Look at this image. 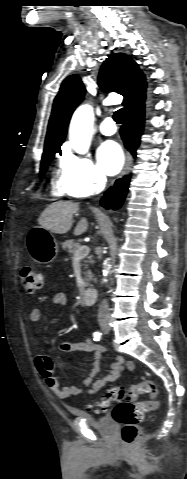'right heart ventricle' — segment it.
Instances as JSON below:
<instances>
[{
	"instance_id": "1",
	"label": "right heart ventricle",
	"mask_w": 187,
	"mask_h": 479,
	"mask_svg": "<svg viewBox=\"0 0 187 479\" xmlns=\"http://www.w3.org/2000/svg\"><path fill=\"white\" fill-rule=\"evenodd\" d=\"M51 191L56 196H61L65 192L60 179L51 182Z\"/></svg>"
}]
</instances>
